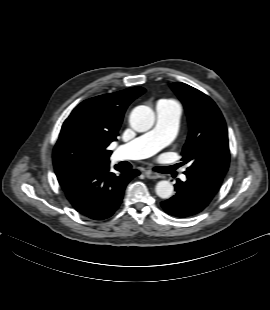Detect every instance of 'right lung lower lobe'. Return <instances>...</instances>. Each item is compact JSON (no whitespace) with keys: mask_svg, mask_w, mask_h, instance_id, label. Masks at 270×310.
<instances>
[{"mask_svg":"<svg viewBox=\"0 0 270 310\" xmlns=\"http://www.w3.org/2000/svg\"><path fill=\"white\" fill-rule=\"evenodd\" d=\"M118 173L109 165L57 174L67 199L83 216L104 220L112 216L123 199L126 185L140 173L136 169L116 165Z\"/></svg>","mask_w":270,"mask_h":310,"instance_id":"1","label":"right lung lower lobe"}]
</instances>
